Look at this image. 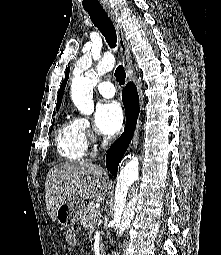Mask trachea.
Returning a JSON list of instances; mask_svg holds the SVG:
<instances>
[{
  "instance_id": "trachea-1",
  "label": "trachea",
  "mask_w": 221,
  "mask_h": 255,
  "mask_svg": "<svg viewBox=\"0 0 221 255\" xmlns=\"http://www.w3.org/2000/svg\"><path fill=\"white\" fill-rule=\"evenodd\" d=\"M85 10L89 13V16L94 23V25L100 30V32L105 37L110 48H115L117 46V36L116 30L113 22L110 20L104 9H88ZM115 78L120 85L125 84L126 73L124 67L119 65L115 70Z\"/></svg>"
}]
</instances>
